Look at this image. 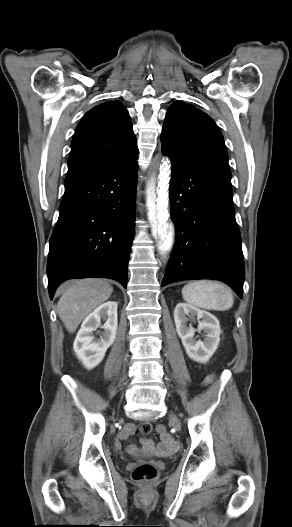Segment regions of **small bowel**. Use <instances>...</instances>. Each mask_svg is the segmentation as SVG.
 Masks as SVG:
<instances>
[{
  "label": "small bowel",
  "instance_id": "c3829d8e",
  "mask_svg": "<svg viewBox=\"0 0 292 527\" xmlns=\"http://www.w3.org/2000/svg\"><path fill=\"white\" fill-rule=\"evenodd\" d=\"M151 425V424H150ZM152 426L150 428L151 432ZM138 431L141 432L140 427H137L133 424L126 425L123 430L119 433L117 440L114 443V447L117 451L122 450V444L133 434L137 433ZM148 432V433H149ZM156 432L158 435L161 436V441L159 444L155 445L154 442L151 439L145 438L142 440V448L146 451H149L146 454V457L148 459H152L154 457V454L152 452H158L161 454V457H165L168 460L173 459L174 454L178 448V443L167 433L166 423L164 421H159L157 423V429ZM145 434V433H144ZM147 434V433H146ZM129 451L132 453H135L138 451V448L135 446H130Z\"/></svg>",
  "mask_w": 292,
  "mask_h": 527
}]
</instances>
